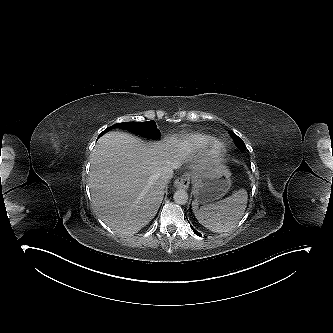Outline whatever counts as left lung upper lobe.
Masks as SVG:
<instances>
[{"mask_svg": "<svg viewBox=\"0 0 333 333\" xmlns=\"http://www.w3.org/2000/svg\"><path fill=\"white\" fill-rule=\"evenodd\" d=\"M230 135L233 137L236 146L243 152L246 149V146L242 139L238 137L234 132L229 131Z\"/></svg>", "mask_w": 333, "mask_h": 333, "instance_id": "1", "label": "left lung upper lobe"}]
</instances>
